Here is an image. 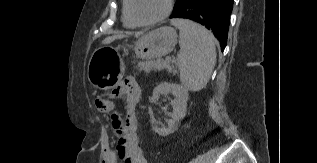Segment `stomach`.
Here are the masks:
<instances>
[{
    "instance_id": "obj_1",
    "label": "stomach",
    "mask_w": 317,
    "mask_h": 163,
    "mask_svg": "<svg viewBox=\"0 0 317 163\" xmlns=\"http://www.w3.org/2000/svg\"><path fill=\"white\" fill-rule=\"evenodd\" d=\"M177 43L176 30L169 26L155 29L137 40L134 51L138 58L154 59L170 53ZM106 47L98 48L92 54L88 64V79L90 83L99 89H108L116 79L122 76V63H119L118 72L110 61L104 57Z\"/></svg>"
}]
</instances>
